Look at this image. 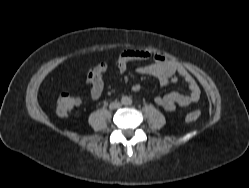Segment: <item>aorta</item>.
Wrapping results in <instances>:
<instances>
[{
	"label": "aorta",
	"instance_id": "aorta-1",
	"mask_svg": "<svg viewBox=\"0 0 249 188\" xmlns=\"http://www.w3.org/2000/svg\"><path fill=\"white\" fill-rule=\"evenodd\" d=\"M121 101L124 105H128L131 103V99L127 96H123Z\"/></svg>",
	"mask_w": 249,
	"mask_h": 188
}]
</instances>
